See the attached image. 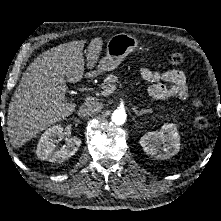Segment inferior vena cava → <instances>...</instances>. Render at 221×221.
Instances as JSON below:
<instances>
[{
    "mask_svg": "<svg viewBox=\"0 0 221 221\" xmlns=\"http://www.w3.org/2000/svg\"><path fill=\"white\" fill-rule=\"evenodd\" d=\"M101 109V106L96 101L84 102L79 108V115L81 117L93 116L97 114Z\"/></svg>",
    "mask_w": 221,
    "mask_h": 221,
    "instance_id": "inferior-vena-cava-1",
    "label": "inferior vena cava"
}]
</instances>
